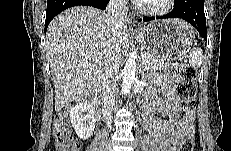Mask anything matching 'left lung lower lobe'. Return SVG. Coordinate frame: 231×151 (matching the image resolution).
<instances>
[{"label":"left lung lower lobe","instance_id":"obj_1","mask_svg":"<svg viewBox=\"0 0 231 151\" xmlns=\"http://www.w3.org/2000/svg\"><path fill=\"white\" fill-rule=\"evenodd\" d=\"M181 18L192 24L207 41L206 17L204 13V0H181L177 7L167 15L156 17V19ZM155 17H143L139 21H151Z\"/></svg>","mask_w":231,"mask_h":151}]
</instances>
